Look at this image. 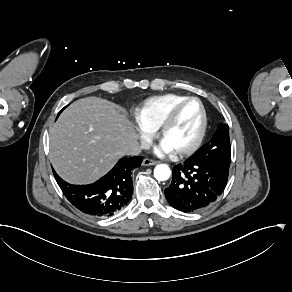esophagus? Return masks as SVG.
Instances as JSON below:
<instances>
[{"instance_id": "esophagus-1", "label": "esophagus", "mask_w": 292, "mask_h": 292, "mask_svg": "<svg viewBox=\"0 0 292 292\" xmlns=\"http://www.w3.org/2000/svg\"><path fill=\"white\" fill-rule=\"evenodd\" d=\"M157 163H158V161H154V160L149 159V158H145V159L142 161V165H144V166L156 165Z\"/></svg>"}]
</instances>
